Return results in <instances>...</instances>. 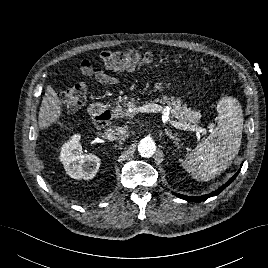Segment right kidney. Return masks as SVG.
Returning a JSON list of instances; mask_svg holds the SVG:
<instances>
[{
    "label": "right kidney",
    "instance_id": "obj_1",
    "mask_svg": "<svg viewBox=\"0 0 268 268\" xmlns=\"http://www.w3.org/2000/svg\"><path fill=\"white\" fill-rule=\"evenodd\" d=\"M81 136L74 134L66 142L60 153V160L64 164L67 174L74 179H92L99 170L100 158L96 155L83 154L80 144Z\"/></svg>",
    "mask_w": 268,
    "mask_h": 268
}]
</instances>
